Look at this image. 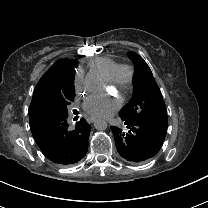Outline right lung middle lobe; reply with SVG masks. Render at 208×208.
<instances>
[{"mask_svg":"<svg viewBox=\"0 0 208 208\" xmlns=\"http://www.w3.org/2000/svg\"><path fill=\"white\" fill-rule=\"evenodd\" d=\"M74 74L75 70L65 74L43 92L33 112L44 118L67 116V106L75 97Z\"/></svg>","mask_w":208,"mask_h":208,"instance_id":"1","label":"right lung middle lobe"}]
</instances>
